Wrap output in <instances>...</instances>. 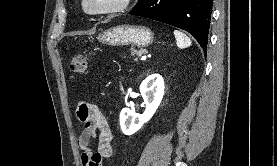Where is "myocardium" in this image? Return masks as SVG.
<instances>
[{
  "instance_id": "obj_1",
  "label": "myocardium",
  "mask_w": 277,
  "mask_h": 166,
  "mask_svg": "<svg viewBox=\"0 0 277 166\" xmlns=\"http://www.w3.org/2000/svg\"><path fill=\"white\" fill-rule=\"evenodd\" d=\"M88 2L89 0H80L82 11L89 16H101L125 11L128 8L131 0H114L97 8H90L88 6Z\"/></svg>"
}]
</instances>
